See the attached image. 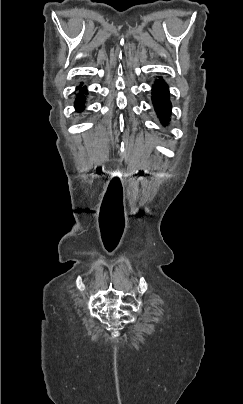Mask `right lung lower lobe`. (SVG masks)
<instances>
[{
  "label": "right lung lower lobe",
  "mask_w": 243,
  "mask_h": 404,
  "mask_svg": "<svg viewBox=\"0 0 243 404\" xmlns=\"http://www.w3.org/2000/svg\"><path fill=\"white\" fill-rule=\"evenodd\" d=\"M85 94H87V90L85 87H80L79 88V93L77 94V98H76V109L78 110V112H81L84 109V104H85Z\"/></svg>",
  "instance_id": "1"
}]
</instances>
